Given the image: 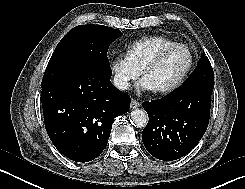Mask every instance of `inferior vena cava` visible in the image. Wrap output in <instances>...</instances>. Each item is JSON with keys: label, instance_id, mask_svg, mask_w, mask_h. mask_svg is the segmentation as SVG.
<instances>
[{"label": "inferior vena cava", "instance_id": "inferior-vena-cava-1", "mask_svg": "<svg viewBox=\"0 0 245 189\" xmlns=\"http://www.w3.org/2000/svg\"><path fill=\"white\" fill-rule=\"evenodd\" d=\"M114 85L121 90H125L129 88V84L127 82V80H125L123 77L121 76H115L114 77Z\"/></svg>", "mask_w": 245, "mask_h": 189}]
</instances>
